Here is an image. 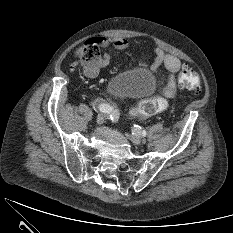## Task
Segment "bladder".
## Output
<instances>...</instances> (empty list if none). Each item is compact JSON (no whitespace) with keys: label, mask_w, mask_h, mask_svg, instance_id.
<instances>
[{"label":"bladder","mask_w":233,"mask_h":233,"mask_svg":"<svg viewBox=\"0 0 233 233\" xmlns=\"http://www.w3.org/2000/svg\"><path fill=\"white\" fill-rule=\"evenodd\" d=\"M155 85V77L148 70L131 69L112 77L107 85V91L114 97L139 98L149 95Z\"/></svg>","instance_id":"obj_1"}]
</instances>
